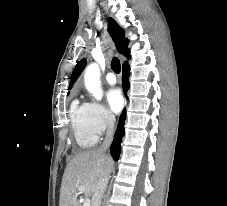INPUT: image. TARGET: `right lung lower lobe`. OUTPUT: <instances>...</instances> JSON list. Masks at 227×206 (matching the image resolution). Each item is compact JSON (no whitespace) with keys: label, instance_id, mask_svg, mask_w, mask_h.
<instances>
[{"label":"right lung lower lobe","instance_id":"right-lung-lower-lobe-1","mask_svg":"<svg viewBox=\"0 0 227 206\" xmlns=\"http://www.w3.org/2000/svg\"><path fill=\"white\" fill-rule=\"evenodd\" d=\"M129 75H130V67L126 63L123 65V84L125 87V90L129 88ZM126 118V111L124 110L120 116L118 127L116 130V133L114 135V140L111 145V155L114 158L115 161L118 160L119 155H120V150H121V141L122 137L124 135V121Z\"/></svg>","mask_w":227,"mask_h":206}]
</instances>
